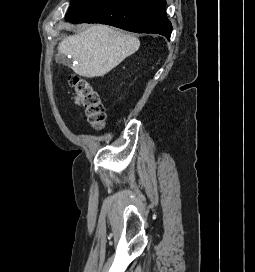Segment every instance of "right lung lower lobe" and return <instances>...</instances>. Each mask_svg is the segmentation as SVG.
I'll list each match as a JSON object with an SVG mask.
<instances>
[{
    "label": "right lung lower lobe",
    "mask_w": 255,
    "mask_h": 272,
    "mask_svg": "<svg viewBox=\"0 0 255 272\" xmlns=\"http://www.w3.org/2000/svg\"><path fill=\"white\" fill-rule=\"evenodd\" d=\"M165 0H90L67 21L101 23L137 33H153L170 39L171 22Z\"/></svg>",
    "instance_id": "obj_1"
}]
</instances>
